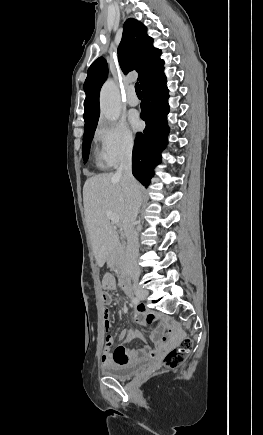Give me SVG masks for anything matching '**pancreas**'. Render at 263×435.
Returning <instances> with one entry per match:
<instances>
[{
  "label": "pancreas",
  "mask_w": 263,
  "mask_h": 435,
  "mask_svg": "<svg viewBox=\"0 0 263 435\" xmlns=\"http://www.w3.org/2000/svg\"><path fill=\"white\" fill-rule=\"evenodd\" d=\"M109 264L116 269L117 272L123 270L124 267V248L121 244H117V246L112 250L109 259Z\"/></svg>",
  "instance_id": "cf45deb5"
}]
</instances>
